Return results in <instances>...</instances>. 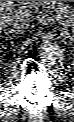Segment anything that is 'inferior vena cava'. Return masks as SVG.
Here are the masks:
<instances>
[{"mask_svg": "<svg viewBox=\"0 0 74 122\" xmlns=\"http://www.w3.org/2000/svg\"><path fill=\"white\" fill-rule=\"evenodd\" d=\"M29 21H30L29 16L24 12H16L12 16H10L8 19V22L10 23V25L13 28L18 29L22 33L25 29L28 28Z\"/></svg>", "mask_w": 74, "mask_h": 122, "instance_id": "inferior-vena-cava-1", "label": "inferior vena cava"}]
</instances>
